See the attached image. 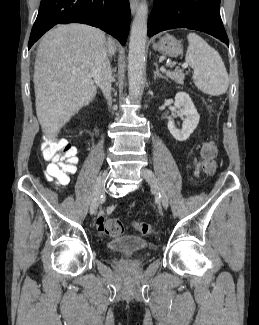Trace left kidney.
I'll return each instance as SVG.
<instances>
[{
	"label": "left kidney",
	"mask_w": 259,
	"mask_h": 325,
	"mask_svg": "<svg viewBox=\"0 0 259 325\" xmlns=\"http://www.w3.org/2000/svg\"><path fill=\"white\" fill-rule=\"evenodd\" d=\"M175 107L178 109L179 114L185 118L183 119L182 128L178 129L175 126L172 117L168 118V130L171 135L178 141H185L196 129L200 116L190 98V96L185 92H178L175 96ZM172 116H175L172 113Z\"/></svg>",
	"instance_id": "obj_1"
}]
</instances>
